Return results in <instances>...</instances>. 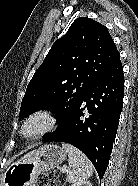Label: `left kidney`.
Returning <instances> with one entry per match:
<instances>
[{
	"instance_id": "1",
	"label": "left kidney",
	"mask_w": 138,
	"mask_h": 186,
	"mask_svg": "<svg viewBox=\"0 0 138 186\" xmlns=\"http://www.w3.org/2000/svg\"><path fill=\"white\" fill-rule=\"evenodd\" d=\"M72 186H92L89 181H79L74 183Z\"/></svg>"
}]
</instances>
